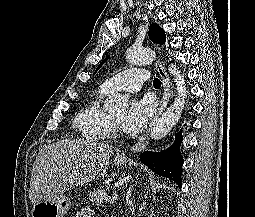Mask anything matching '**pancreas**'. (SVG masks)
Segmentation results:
<instances>
[{
	"label": "pancreas",
	"mask_w": 255,
	"mask_h": 217,
	"mask_svg": "<svg viewBox=\"0 0 255 217\" xmlns=\"http://www.w3.org/2000/svg\"><path fill=\"white\" fill-rule=\"evenodd\" d=\"M107 193L105 190L98 189L90 194L89 200L96 205H102L105 203V200L107 198Z\"/></svg>",
	"instance_id": "obj_1"
}]
</instances>
